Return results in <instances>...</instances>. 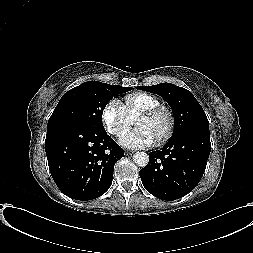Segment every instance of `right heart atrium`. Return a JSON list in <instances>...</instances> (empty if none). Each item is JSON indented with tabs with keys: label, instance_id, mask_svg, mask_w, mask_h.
Returning a JSON list of instances; mask_svg holds the SVG:
<instances>
[{
	"label": "right heart atrium",
	"instance_id": "right-heart-atrium-1",
	"mask_svg": "<svg viewBox=\"0 0 253 253\" xmlns=\"http://www.w3.org/2000/svg\"><path fill=\"white\" fill-rule=\"evenodd\" d=\"M102 123L108 133L122 137L131 126V119L123 104L117 100H110L101 112Z\"/></svg>",
	"mask_w": 253,
	"mask_h": 253
}]
</instances>
